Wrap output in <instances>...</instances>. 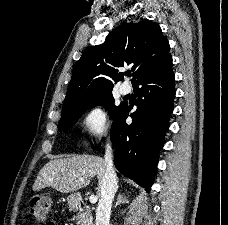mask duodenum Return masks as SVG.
<instances>
[{"label":"duodenum","instance_id":"410a0bca","mask_svg":"<svg viewBox=\"0 0 228 225\" xmlns=\"http://www.w3.org/2000/svg\"><path fill=\"white\" fill-rule=\"evenodd\" d=\"M71 203L77 205L79 203V198L77 196H71Z\"/></svg>","mask_w":228,"mask_h":225}]
</instances>
